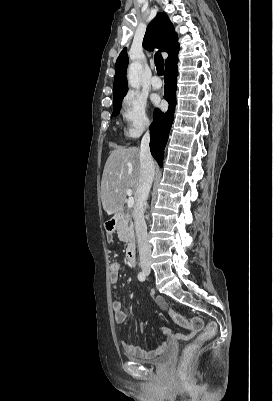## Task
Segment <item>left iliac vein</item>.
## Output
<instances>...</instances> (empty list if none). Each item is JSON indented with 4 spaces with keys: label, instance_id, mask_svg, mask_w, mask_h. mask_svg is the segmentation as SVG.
Here are the masks:
<instances>
[{
    "label": "left iliac vein",
    "instance_id": "left-iliac-vein-1",
    "mask_svg": "<svg viewBox=\"0 0 273 401\" xmlns=\"http://www.w3.org/2000/svg\"><path fill=\"white\" fill-rule=\"evenodd\" d=\"M149 273H150V269L146 272V275H149Z\"/></svg>",
    "mask_w": 273,
    "mask_h": 401
}]
</instances>
